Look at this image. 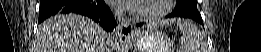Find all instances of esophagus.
<instances>
[{
	"instance_id": "34e87169",
	"label": "esophagus",
	"mask_w": 261,
	"mask_h": 52,
	"mask_svg": "<svg viewBox=\"0 0 261 52\" xmlns=\"http://www.w3.org/2000/svg\"><path fill=\"white\" fill-rule=\"evenodd\" d=\"M133 33L132 25L127 21H121L118 26V35L120 38H130Z\"/></svg>"
}]
</instances>
